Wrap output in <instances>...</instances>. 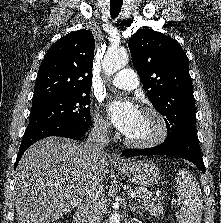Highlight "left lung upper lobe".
<instances>
[{
	"label": "left lung upper lobe",
	"instance_id": "left-lung-upper-lobe-1",
	"mask_svg": "<svg viewBox=\"0 0 221 223\" xmlns=\"http://www.w3.org/2000/svg\"><path fill=\"white\" fill-rule=\"evenodd\" d=\"M129 49L149 100L165 116V140L196 133L189 63L178 42L162 33L140 29L131 36Z\"/></svg>",
	"mask_w": 221,
	"mask_h": 223
}]
</instances>
